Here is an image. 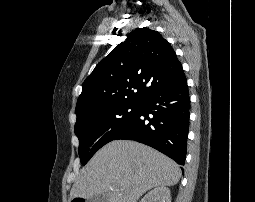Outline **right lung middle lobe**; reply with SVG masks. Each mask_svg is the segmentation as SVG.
I'll return each instance as SVG.
<instances>
[{
  "label": "right lung middle lobe",
  "instance_id": "1",
  "mask_svg": "<svg viewBox=\"0 0 255 202\" xmlns=\"http://www.w3.org/2000/svg\"><path fill=\"white\" fill-rule=\"evenodd\" d=\"M141 103H121L97 109L77 119L79 157L85 165L102 146L115 139L138 113Z\"/></svg>",
  "mask_w": 255,
  "mask_h": 202
}]
</instances>
